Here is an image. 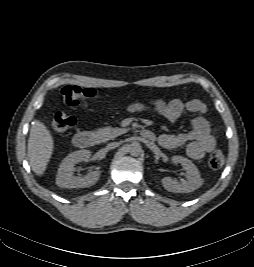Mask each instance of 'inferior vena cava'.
<instances>
[{
	"label": "inferior vena cava",
	"instance_id": "obj_1",
	"mask_svg": "<svg viewBox=\"0 0 254 267\" xmlns=\"http://www.w3.org/2000/svg\"><path fill=\"white\" fill-rule=\"evenodd\" d=\"M118 146V143H115V142H113V143H110V144H108L107 145V149H114V148H116Z\"/></svg>",
	"mask_w": 254,
	"mask_h": 267
}]
</instances>
